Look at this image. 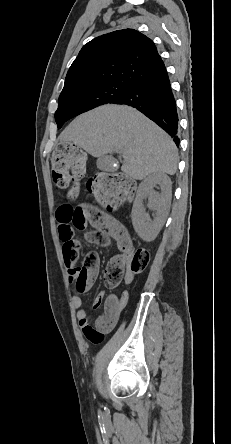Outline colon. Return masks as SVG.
<instances>
[{"label":"colon","mask_w":231,"mask_h":444,"mask_svg":"<svg viewBox=\"0 0 231 444\" xmlns=\"http://www.w3.org/2000/svg\"><path fill=\"white\" fill-rule=\"evenodd\" d=\"M52 178L55 185L68 191L69 197H75L78 193L80 181L84 174V154L70 144H60L51 158ZM88 190L93 193L100 205L107 211L117 209L123 202L130 199L136 189L135 182L121 173L100 174L91 178L87 183ZM101 212L96 209L84 210L81 208H69L64 220L73 228L84 230L93 226L100 218ZM77 253L67 250L64 253V262L68 267L75 264ZM150 261V253L143 248L135 251L121 249V253L112 257L108 263L104 281L109 288L117 287L124 276L125 271L132 274L141 273L146 269ZM99 257L96 252L86 254L83 265L77 268L75 288L79 293L85 292L91 286L97 271Z\"/></svg>","instance_id":"5ec220e1"}]
</instances>
